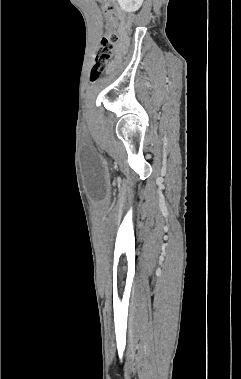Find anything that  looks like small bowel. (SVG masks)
<instances>
[{
  "mask_svg": "<svg viewBox=\"0 0 241 379\" xmlns=\"http://www.w3.org/2000/svg\"><path fill=\"white\" fill-rule=\"evenodd\" d=\"M125 23L124 22H122L121 24H120V26H119V28H120V30L122 31V32H124V30H125Z\"/></svg>",
  "mask_w": 241,
  "mask_h": 379,
  "instance_id": "small-bowel-1",
  "label": "small bowel"
}]
</instances>
